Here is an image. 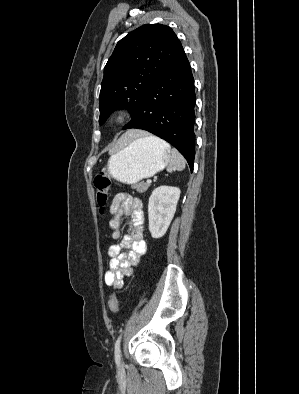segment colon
Returning <instances> with one entry per match:
<instances>
[{
  "label": "colon",
  "mask_w": 299,
  "mask_h": 394,
  "mask_svg": "<svg viewBox=\"0 0 299 394\" xmlns=\"http://www.w3.org/2000/svg\"><path fill=\"white\" fill-rule=\"evenodd\" d=\"M93 185L96 190V198L99 206L103 208L109 200L111 180L105 171L99 172L93 179ZM109 308L112 313L118 312V300L115 294H111L109 299Z\"/></svg>",
  "instance_id": "obj_1"
}]
</instances>
